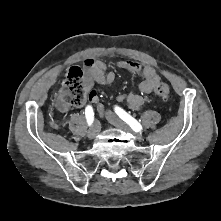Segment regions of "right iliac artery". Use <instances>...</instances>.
<instances>
[{
  "label": "right iliac artery",
  "mask_w": 221,
  "mask_h": 221,
  "mask_svg": "<svg viewBox=\"0 0 221 221\" xmlns=\"http://www.w3.org/2000/svg\"><path fill=\"white\" fill-rule=\"evenodd\" d=\"M85 116H86L88 125L91 126L94 121V111L91 106L86 107Z\"/></svg>",
  "instance_id": "obj_1"
}]
</instances>
